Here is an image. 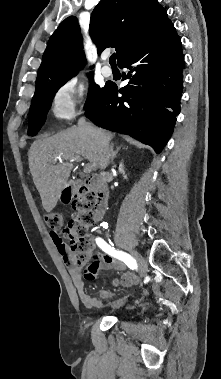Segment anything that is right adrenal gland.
Listing matches in <instances>:
<instances>
[{"label":"right adrenal gland","mask_w":221,"mask_h":379,"mask_svg":"<svg viewBox=\"0 0 221 379\" xmlns=\"http://www.w3.org/2000/svg\"><path fill=\"white\" fill-rule=\"evenodd\" d=\"M120 148H121V146L118 147L116 150H114V144L113 143L111 144V146H110V161H109V164H113L114 163V159H115L116 155L118 154Z\"/></svg>","instance_id":"1"}]
</instances>
